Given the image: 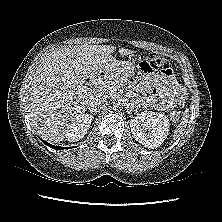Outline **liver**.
<instances>
[{
	"mask_svg": "<svg viewBox=\"0 0 222 222\" xmlns=\"http://www.w3.org/2000/svg\"><path fill=\"white\" fill-rule=\"evenodd\" d=\"M111 45L63 46L47 54L37 67L27 95L31 126L46 141L59 143L76 117L87 110L95 92L84 85L98 72H119L120 62ZM130 49H119L122 56Z\"/></svg>",
	"mask_w": 222,
	"mask_h": 222,
	"instance_id": "6515ba94",
	"label": "liver"
}]
</instances>
